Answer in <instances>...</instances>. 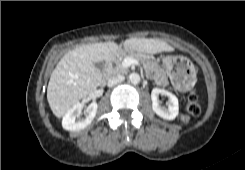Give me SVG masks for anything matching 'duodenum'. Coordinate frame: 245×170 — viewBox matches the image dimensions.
Masks as SVG:
<instances>
[{
	"mask_svg": "<svg viewBox=\"0 0 245 170\" xmlns=\"http://www.w3.org/2000/svg\"><path fill=\"white\" fill-rule=\"evenodd\" d=\"M117 49L108 57L107 61H106V65L104 68V77L106 79H110L114 76V71H113V67H112V60H113V56L116 53Z\"/></svg>",
	"mask_w": 245,
	"mask_h": 170,
	"instance_id": "1",
	"label": "duodenum"
}]
</instances>
